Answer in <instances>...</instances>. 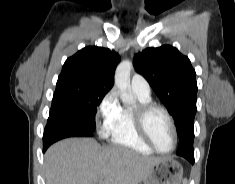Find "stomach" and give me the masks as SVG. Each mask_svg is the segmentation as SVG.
Here are the masks:
<instances>
[{
    "label": "stomach",
    "instance_id": "0dacf381",
    "mask_svg": "<svg viewBox=\"0 0 235 184\" xmlns=\"http://www.w3.org/2000/svg\"><path fill=\"white\" fill-rule=\"evenodd\" d=\"M183 168L175 160H162L151 168L148 178L143 184H181Z\"/></svg>",
    "mask_w": 235,
    "mask_h": 184
}]
</instances>
